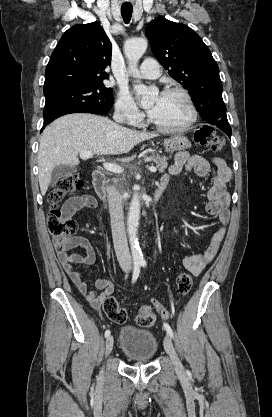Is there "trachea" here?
<instances>
[{
  "label": "trachea",
  "mask_w": 272,
  "mask_h": 417,
  "mask_svg": "<svg viewBox=\"0 0 272 417\" xmlns=\"http://www.w3.org/2000/svg\"><path fill=\"white\" fill-rule=\"evenodd\" d=\"M132 6H122L121 7V15L124 20V22L127 24L131 20L132 16Z\"/></svg>",
  "instance_id": "obj_1"
}]
</instances>
